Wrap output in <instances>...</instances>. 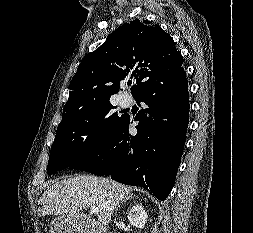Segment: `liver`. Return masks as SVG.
I'll list each match as a JSON object with an SVG mask.
<instances>
[{
  "mask_svg": "<svg viewBox=\"0 0 253 233\" xmlns=\"http://www.w3.org/2000/svg\"><path fill=\"white\" fill-rule=\"evenodd\" d=\"M131 188L111 179L91 175L65 177L44 191L39 216L75 215L84 208L99 209V228L109 224L120 202L132 198Z\"/></svg>",
  "mask_w": 253,
  "mask_h": 233,
  "instance_id": "obj_1",
  "label": "liver"
}]
</instances>
